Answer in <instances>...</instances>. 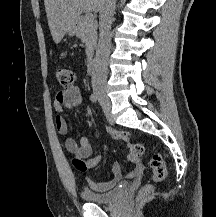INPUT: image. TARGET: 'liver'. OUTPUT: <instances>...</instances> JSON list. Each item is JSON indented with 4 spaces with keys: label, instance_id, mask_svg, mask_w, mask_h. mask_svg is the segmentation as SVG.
<instances>
[{
    "label": "liver",
    "instance_id": "1",
    "mask_svg": "<svg viewBox=\"0 0 216 217\" xmlns=\"http://www.w3.org/2000/svg\"><path fill=\"white\" fill-rule=\"evenodd\" d=\"M103 0H44L52 38L60 43L66 32L75 26L83 11L98 12Z\"/></svg>",
    "mask_w": 216,
    "mask_h": 217
}]
</instances>
